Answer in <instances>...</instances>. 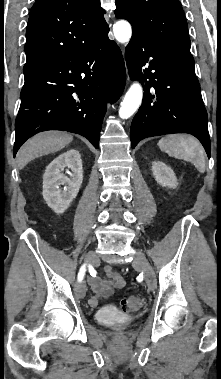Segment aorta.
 <instances>
[{"label":"aorta","instance_id":"762f6f07","mask_svg":"<svg viewBox=\"0 0 221 379\" xmlns=\"http://www.w3.org/2000/svg\"><path fill=\"white\" fill-rule=\"evenodd\" d=\"M113 32L116 40L120 43H126L130 40L132 29L130 24L125 20L116 22L113 26ZM143 90L138 82H134L120 105L119 116L122 119H127L134 114L141 104Z\"/></svg>","mask_w":221,"mask_h":379}]
</instances>
